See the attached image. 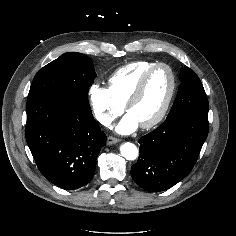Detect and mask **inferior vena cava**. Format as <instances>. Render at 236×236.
<instances>
[{"instance_id":"inferior-vena-cava-1","label":"inferior vena cava","mask_w":236,"mask_h":236,"mask_svg":"<svg viewBox=\"0 0 236 236\" xmlns=\"http://www.w3.org/2000/svg\"><path fill=\"white\" fill-rule=\"evenodd\" d=\"M97 120L101 124H103L104 126H107V127L110 126V124L112 122L111 118L109 116H107V115H98L97 116Z\"/></svg>"}]
</instances>
